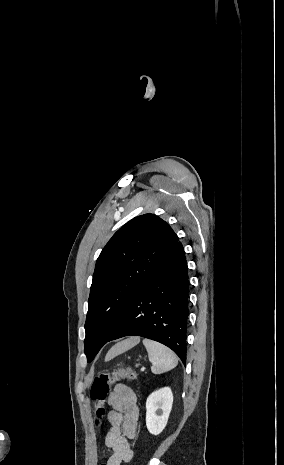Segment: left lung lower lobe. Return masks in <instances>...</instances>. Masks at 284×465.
I'll use <instances>...</instances> for the list:
<instances>
[{"mask_svg": "<svg viewBox=\"0 0 284 465\" xmlns=\"http://www.w3.org/2000/svg\"><path fill=\"white\" fill-rule=\"evenodd\" d=\"M188 294L185 252L178 241L133 297L107 342L124 336L145 337L171 348L185 364Z\"/></svg>", "mask_w": 284, "mask_h": 465, "instance_id": "1", "label": "left lung lower lobe"}]
</instances>
